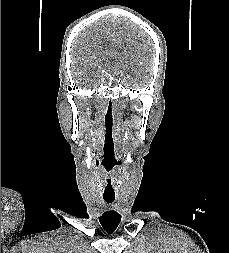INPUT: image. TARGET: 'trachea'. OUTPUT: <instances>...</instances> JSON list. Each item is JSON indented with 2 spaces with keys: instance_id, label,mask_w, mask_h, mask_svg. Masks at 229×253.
Listing matches in <instances>:
<instances>
[{
  "instance_id": "obj_1",
  "label": "trachea",
  "mask_w": 229,
  "mask_h": 253,
  "mask_svg": "<svg viewBox=\"0 0 229 253\" xmlns=\"http://www.w3.org/2000/svg\"><path fill=\"white\" fill-rule=\"evenodd\" d=\"M104 200H105L107 203H112V202L115 200V197H112V198H104Z\"/></svg>"
}]
</instances>
